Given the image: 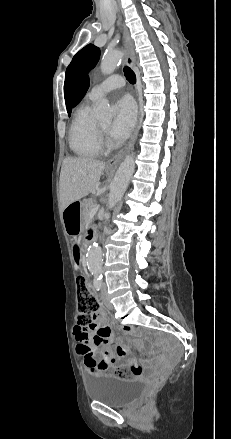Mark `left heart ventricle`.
Wrapping results in <instances>:
<instances>
[{
    "label": "left heart ventricle",
    "mask_w": 231,
    "mask_h": 439,
    "mask_svg": "<svg viewBox=\"0 0 231 439\" xmlns=\"http://www.w3.org/2000/svg\"><path fill=\"white\" fill-rule=\"evenodd\" d=\"M100 126L104 129V130H108L110 127V123L109 122H105V123H101Z\"/></svg>",
    "instance_id": "obj_1"
}]
</instances>
